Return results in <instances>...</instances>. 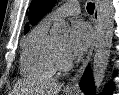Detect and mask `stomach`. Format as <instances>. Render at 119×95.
<instances>
[{
	"instance_id": "obj_1",
	"label": "stomach",
	"mask_w": 119,
	"mask_h": 95,
	"mask_svg": "<svg viewBox=\"0 0 119 95\" xmlns=\"http://www.w3.org/2000/svg\"><path fill=\"white\" fill-rule=\"evenodd\" d=\"M66 95H73L72 92H66Z\"/></svg>"
}]
</instances>
